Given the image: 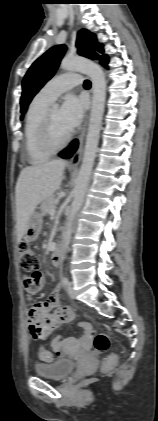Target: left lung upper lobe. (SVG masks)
Masks as SVG:
<instances>
[{
	"label": "left lung upper lobe",
	"instance_id": "left-lung-upper-lobe-1",
	"mask_svg": "<svg viewBox=\"0 0 158 421\" xmlns=\"http://www.w3.org/2000/svg\"><path fill=\"white\" fill-rule=\"evenodd\" d=\"M78 53L91 59H103L106 55L99 56L95 51L103 53V45L97 42L95 34L86 29L78 32ZM66 50L65 45L50 48L38 58L26 73L22 83V96L20 100L21 112L24 113L42 86L54 75L61 58Z\"/></svg>",
	"mask_w": 158,
	"mask_h": 421
}]
</instances>
